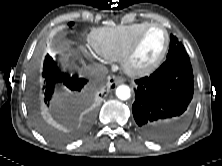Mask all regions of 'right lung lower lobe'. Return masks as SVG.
<instances>
[{"instance_id": "obj_1", "label": "right lung lower lobe", "mask_w": 222, "mask_h": 166, "mask_svg": "<svg viewBox=\"0 0 222 166\" xmlns=\"http://www.w3.org/2000/svg\"><path fill=\"white\" fill-rule=\"evenodd\" d=\"M42 80L40 100L43 106H53L55 102L61 101L64 97L70 98L78 95L87 83V80L83 78L71 77L62 73L49 55L45 57L43 63ZM57 87L62 88L63 96L52 100Z\"/></svg>"}]
</instances>
